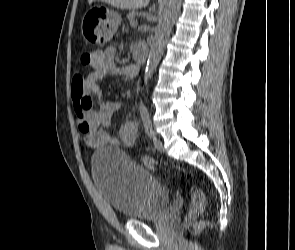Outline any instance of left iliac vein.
Wrapping results in <instances>:
<instances>
[{"mask_svg":"<svg viewBox=\"0 0 295 250\" xmlns=\"http://www.w3.org/2000/svg\"><path fill=\"white\" fill-rule=\"evenodd\" d=\"M152 138H153V144H154V147H155L159 152H164L163 144H162L161 140L155 135L154 132H153Z\"/></svg>","mask_w":295,"mask_h":250,"instance_id":"4c4485c4","label":"left iliac vein"}]
</instances>
